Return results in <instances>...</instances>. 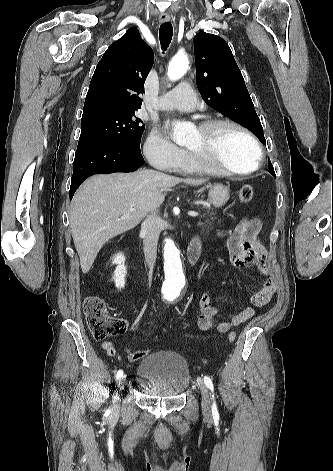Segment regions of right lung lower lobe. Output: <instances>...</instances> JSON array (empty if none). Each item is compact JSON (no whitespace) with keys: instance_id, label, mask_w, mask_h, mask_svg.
Here are the masks:
<instances>
[{"instance_id":"1","label":"right lung lower lobe","mask_w":333,"mask_h":471,"mask_svg":"<svg viewBox=\"0 0 333 471\" xmlns=\"http://www.w3.org/2000/svg\"><path fill=\"white\" fill-rule=\"evenodd\" d=\"M144 164L140 151L107 141L78 143L70 199L80 184L94 174L133 172Z\"/></svg>"}]
</instances>
